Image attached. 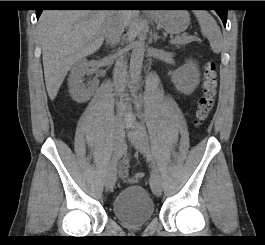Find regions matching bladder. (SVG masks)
<instances>
[{
    "label": "bladder",
    "instance_id": "obj_1",
    "mask_svg": "<svg viewBox=\"0 0 265 245\" xmlns=\"http://www.w3.org/2000/svg\"><path fill=\"white\" fill-rule=\"evenodd\" d=\"M113 215L126 226L147 223L155 214V204L148 192L141 186H130L114 199Z\"/></svg>",
    "mask_w": 265,
    "mask_h": 245
}]
</instances>
